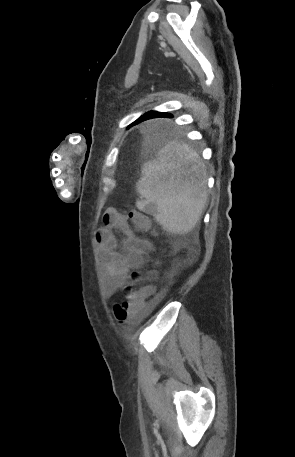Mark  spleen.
Segmentation results:
<instances>
[{"mask_svg":"<svg viewBox=\"0 0 295 457\" xmlns=\"http://www.w3.org/2000/svg\"><path fill=\"white\" fill-rule=\"evenodd\" d=\"M206 176L188 145L170 142L142 169L139 210L151 214L172 234L193 230L207 202Z\"/></svg>","mask_w":295,"mask_h":457,"instance_id":"spleen-1","label":"spleen"}]
</instances>
